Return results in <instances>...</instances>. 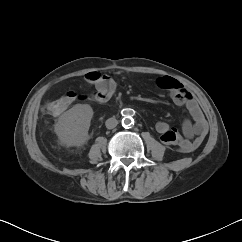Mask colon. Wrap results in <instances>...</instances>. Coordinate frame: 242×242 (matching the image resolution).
Listing matches in <instances>:
<instances>
[{
	"mask_svg": "<svg viewBox=\"0 0 242 242\" xmlns=\"http://www.w3.org/2000/svg\"><path fill=\"white\" fill-rule=\"evenodd\" d=\"M91 80H96V77H92ZM66 96L61 97L60 99L52 100L47 103V110L52 114H60L62 113L67 107L68 102L66 101ZM110 93L107 90H100L99 92L96 91L95 97L97 100H106L110 97Z\"/></svg>",
	"mask_w": 242,
	"mask_h": 242,
	"instance_id": "colon-1",
	"label": "colon"
}]
</instances>
